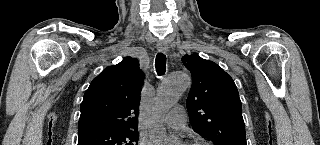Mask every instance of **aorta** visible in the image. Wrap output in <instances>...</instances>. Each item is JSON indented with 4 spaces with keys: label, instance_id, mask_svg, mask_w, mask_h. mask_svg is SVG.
I'll list each match as a JSON object with an SVG mask.
<instances>
[{
    "label": "aorta",
    "instance_id": "aorta-1",
    "mask_svg": "<svg viewBox=\"0 0 320 145\" xmlns=\"http://www.w3.org/2000/svg\"><path fill=\"white\" fill-rule=\"evenodd\" d=\"M190 83V77L184 72L169 74L162 82L153 106L154 121L150 126V134L155 145H169V136L166 129L158 123V119L177 103Z\"/></svg>",
    "mask_w": 320,
    "mask_h": 145
}]
</instances>
